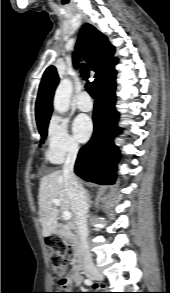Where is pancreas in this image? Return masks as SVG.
<instances>
[{"label":"pancreas","mask_w":170,"mask_h":293,"mask_svg":"<svg viewBox=\"0 0 170 293\" xmlns=\"http://www.w3.org/2000/svg\"><path fill=\"white\" fill-rule=\"evenodd\" d=\"M62 238L72 244L74 255L76 254L77 250L79 249V241L78 237L73 233H65Z\"/></svg>","instance_id":"1"}]
</instances>
